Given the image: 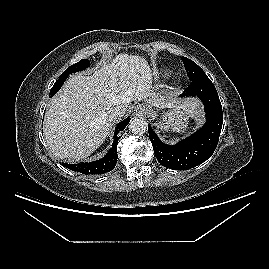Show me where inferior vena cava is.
<instances>
[{"label": "inferior vena cava", "mask_w": 269, "mask_h": 269, "mask_svg": "<svg viewBox=\"0 0 269 269\" xmlns=\"http://www.w3.org/2000/svg\"><path fill=\"white\" fill-rule=\"evenodd\" d=\"M125 112L126 109L121 106L114 107L110 110L108 118L111 122L115 123L125 114Z\"/></svg>", "instance_id": "obj_1"}]
</instances>
